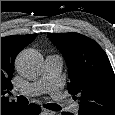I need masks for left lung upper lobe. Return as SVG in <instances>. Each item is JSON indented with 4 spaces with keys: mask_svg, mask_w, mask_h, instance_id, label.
I'll list each match as a JSON object with an SVG mask.
<instances>
[{
    "mask_svg": "<svg viewBox=\"0 0 115 115\" xmlns=\"http://www.w3.org/2000/svg\"><path fill=\"white\" fill-rule=\"evenodd\" d=\"M69 71L68 91L80 101L79 115H115V75L104 50L78 33H48Z\"/></svg>",
    "mask_w": 115,
    "mask_h": 115,
    "instance_id": "left-lung-upper-lobe-1",
    "label": "left lung upper lobe"
}]
</instances>
